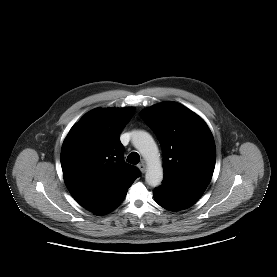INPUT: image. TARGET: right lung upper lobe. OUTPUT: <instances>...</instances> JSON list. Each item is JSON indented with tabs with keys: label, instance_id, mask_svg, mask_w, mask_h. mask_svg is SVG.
<instances>
[{
	"label": "right lung upper lobe",
	"instance_id": "right-lung-upper-lobe-1",
	"mask_svg": "<svg viewBox=\"0 0 277 277\" xmlns=\"http://www.w3.org/2000/svg\"><path fill=\"white\" fill-rule=\"evenodd\" d=\"M133 113V108L92 110L71 128L63 143L65 184L91 212L106 208L139 176L138 169L123 160L119 138Z\"/></svg>",
	"mask_w": 277,
	"mask_h": 277
}]
</instances>
